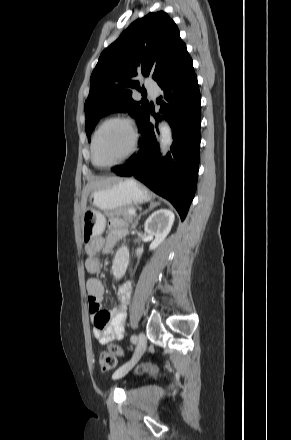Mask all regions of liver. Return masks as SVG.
I'll use <instances>...</instances> for the list:
<instances>
[{
  "instance_id": "liver-1",
  "label": "liver",
  "mask_w": 291,
  "mask_h": 440,
  "mask_svg": "<svg viewBox=\"0 0 291 440\" xmlns=\"http://www.w3.org/2000/svg\"><path fill=\"white\" fill-rule=\"evenodd\" d=\"M118 179L119 178H117V177H109V178H102V179L88 183L86 188L84 189L83 195H82V208H83V210L85 211V209H86L87 197H88V194L91 190L106 187L107 185L115 182Z\"/></svg>"
}]
</instances>
